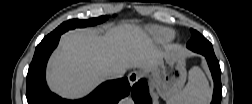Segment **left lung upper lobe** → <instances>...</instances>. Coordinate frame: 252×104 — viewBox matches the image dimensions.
<instances>
[{"label": "left lung upper lobe", "mask_w": 252, "mask_h": 104, "mask_svg": "<svg viewBox=\"0 0 252 104\" xmlns=\"http://www.w3.org/2000/svg\"><path fill=\"white\" fill-rule=\"evenodd\" d=\"M192 37L187 43L190 50L200 54H214L212 44L199 32L191 29Z\"/></svg>", "instance_id": "left-lung-upper-lobe-1"}]
</instances>
